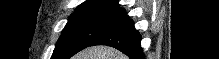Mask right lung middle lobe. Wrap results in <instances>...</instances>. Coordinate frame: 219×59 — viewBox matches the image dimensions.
Instances as JSON below:
<instances>
[{
  "mask_svg": "<svg viewBox=\"0 0 219 59\" xmlns=\"http://www.w3.org/2000/svg\"><path fill=\"white\" fill-rule=\"evenodd\" d=\"M114 10L71 15L51 59L71 58L127 20V17L118 15Z\"/></svg>",
  "mask_w": 219,
  "mask_h": 59,
  "instance_id": "dd1d6c3e",
  "label": "right lung middle lobe"
}]
</instances>
